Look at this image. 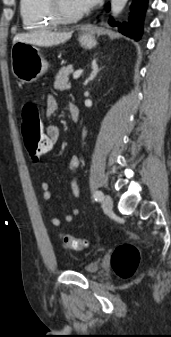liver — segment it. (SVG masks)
I'll return each instance as SVG.
<instances>
[{
	"label": "liver",
	"instance_id": "1",
	"mask_svg": "<svg viewBox=\"0 0 171 337\" xmlns=\"http://www.w3.org/2000/svg\"><path fill=\"white\" fill-rule=\"evenodd\" d=\"M71 36V32L57 33L42 31L36 33H23L15 35V37L13 38V44L20 41L37 46L49 47L63 43L66 40L70 39Z\"/></svg>",
	"mask_w": 171,
	"mask_h": 337
}]
</instances>
